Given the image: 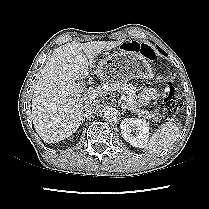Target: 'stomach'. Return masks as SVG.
I'll use <instances>...</instances> for the list:
<instances>
[{
  "label": "stomach",
  "instance_id": "0dacf381",
  "mask_svg": "<svg viewBox=\"0 0 209 209\" xmlns=\"http://www.w3.org/2000/svg\"><path fill=\"white\" fill-rule=\"evenodd\" d=\"M100 70L102 76L112 82L154 77L149 62L135 51L123 50L106 57L101 63Z\"/></svg>",
  "mask_w": 209,
  "mask_h": 209
}]
</instances>
